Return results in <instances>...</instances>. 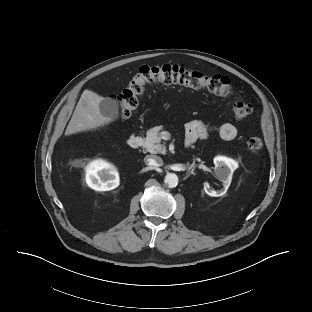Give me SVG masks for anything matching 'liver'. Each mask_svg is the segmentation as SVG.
Masks as SVG:
<instances>
[{"label":"liver","mask_w":312,"mask_h":312,"mask_svg":"<svg viewBox=\"0 0 312 312\" xmlns=\"http://www.w3.org/2000/svg\"><path fill=\"white\" fill-rule=\"evenodd\" d=\"M102 97L91 90H84L66 128L65 135L95 130L109 123L99 110Z\"/></svg>","instance_id":"1"}]
</instances>
